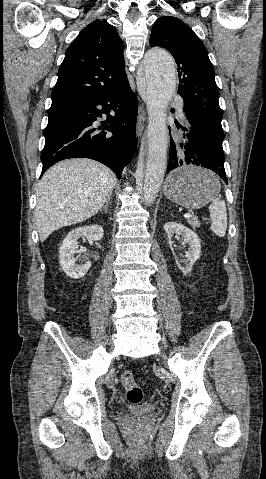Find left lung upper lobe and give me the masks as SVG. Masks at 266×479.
I'll list each match as a JSON object with an SVG mask.
<instances>
[{"mask_svg":"<svg viewBox=\"0 0 266 479\" xmlns=\"http://www.w3.org/2000/svg\"><path fill=\"white\" fill-rule=\"evenodd\" d=\"M151 47H164L178 65V93L184 100V112L209 144L214 156L224 157L219 107V91L215 71L201 40L176 17H160L153 25Z\"/></svg>","mask_w":266,"mask_h":479,"instance_id":"obj_1","label":"left lung upper lobe"}]
</instances>
